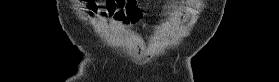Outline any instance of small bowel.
I'll list each match as a JSON object with an SVG mask.
<instances>
[{"label":"small bowel","mask_w":279,"mask_h":82,"mask_svg":"<svg viewBox=\"0 0 279 82\" xmlns=\"http://www.w3.org/2000/svg\"><path fill=\"white\" fill-rule=\"evenodd\" d=\"M134 4V0H105L92 3V10L103 17L111 16L115 22L122 23L125 9ZM166 9L167 7H164V10ZM158 25L161 26L162 23Z\"/></svg>","instance_id":"obj_1"}]
</instances>
